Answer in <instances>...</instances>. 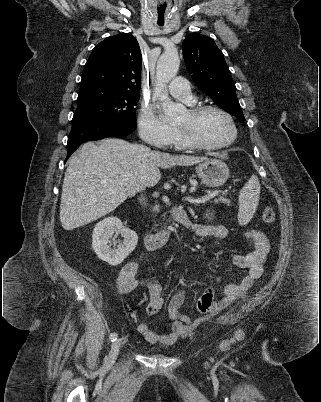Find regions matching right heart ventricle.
<instances>
[{
    "label": "right heart ventricle",
    "mask_w": 321,
    "mask_h": 402,
    "mask_svg": "<svg viewBox=\"0 0 321 402\" xmlns=\"http://www.w3.org/2000/svg\"><path fill=\"white\" fill-rule=\"evenodd\" d=\"M172 144L178 149H187V148H189V146H187L184 143V141L182 140V138H181V136H180V134H179V132L177 130H176V133H175V136H174Z\"/></svg>",
    "instance_id": "obj_1"
}]
</instances>
